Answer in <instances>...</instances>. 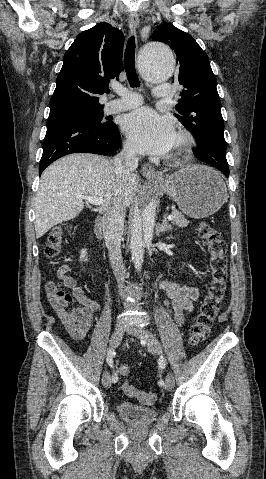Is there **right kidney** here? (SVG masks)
<instances>
[{"label": "right kidney", "mask_w": 266, "mask_h": 479, "mask_svg": "<svg viewBox=\"0 0 266 479\" xmlns=\"http://www.w3.org/2000/svg\"><path fill=\"white\" fill-rule=\"evenodd\" d=\"M81 261H87V249H82L81 250V256H80Z\"/></svg>", "instance_id": "1"}]
</instances>
